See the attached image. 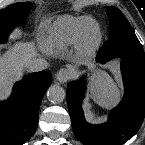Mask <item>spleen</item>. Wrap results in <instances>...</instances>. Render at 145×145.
<instances>
[{"instance_id": "1", "label": "spleen", "mask_w": 145, "mask_h": 145, "mask_svg": "<svg viewBox=\"0 0 145 145\" xmlns=\"http://www.w3.org/2000/svg\"><path fill=\"white\" fill-rule=\"evenodd\" d=\"M92 99L104 108L114 106L120 97L119 89L111 77L103 74L95 79L90 86Z\"/></svg>"}]
</instances>
